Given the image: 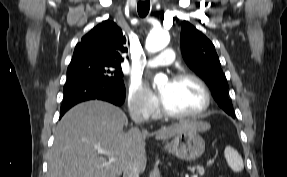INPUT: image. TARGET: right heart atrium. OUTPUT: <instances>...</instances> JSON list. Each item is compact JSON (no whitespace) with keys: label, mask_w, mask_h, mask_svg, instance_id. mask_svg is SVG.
I'll list each match as a JSON object with an SVG mask.
<instances>
[{"label":"right heart atrium","mask_w":287,"mask_h":177,"mask_svg":"<svg viewBox=\"0 0 287 177\" xmlns=\"http://www.w3.org/2000/svg\"><path fill=\"white\" fill-rule=\"evenodd\" d=\"M128 107L132 115L149 118L158 110V102L140 79L133 78L127 90Z\"/></svg>","instance_id":"right-heart-atrium-1"}]
</instances>
